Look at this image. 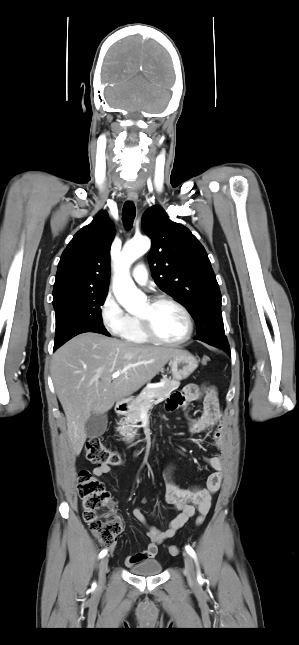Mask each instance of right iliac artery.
Listing matches in <instances>:
<instances>
[{"mask_svg":"<svg viewBox=\"0 0 299 645\" xmlns=\"http://www.w3.org/2000/svg\"><path fill=\"white\" fill-rule=\"evenodd\" d=\"M106 554H107V550L106 549L102 550L99 554V558L104 557Z\"/></svg>","mask_w":299,"mask_h":645,"instance_id":"obj_1","label":"right iliac artery"}]
</instances>
